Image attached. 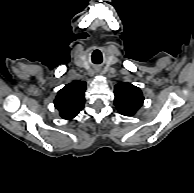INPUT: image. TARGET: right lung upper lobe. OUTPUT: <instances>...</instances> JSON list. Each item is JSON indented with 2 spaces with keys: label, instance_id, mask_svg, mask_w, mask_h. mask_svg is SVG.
Listing matches in <instances>:
<instances>
[{
  "label": "right lung upper lobe",
  "instance_id": "1",
  "mask_svg": "<svg viewBox=\"0 0 194 193\" xmlns=\"http://www.w3.org/2000/svg\"><path fill=\"white\" fill-rule=\"evenodd\" d=\"M84 81H73L62 88L54 101L60 116L64 119H73L84 107Z\"/></svg>",
  "mask_w": 194,
  "mask_h": 193
}]
</instances>
